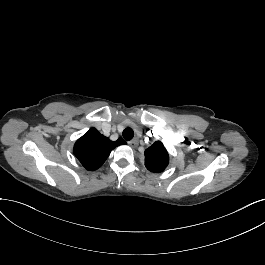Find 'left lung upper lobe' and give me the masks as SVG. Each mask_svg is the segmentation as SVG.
<instances>
[{
	"instance_id": "1",
	"label": "left lung upper lobe",
	"mask_w": 265,
	"mask_h": 265,
	"mask_svg": "<svg viewBox=\"0 0 265 265\" xmlns=\"http://www.w3.org/2000/svg\"><path fill=\"white\" fill-rule=\"evenodd\" d=\"M145 166L154 173L162 172L169 163V155L164 145L156 141L151 147L145 150Z\"/></svg>"
}]
</instances>
